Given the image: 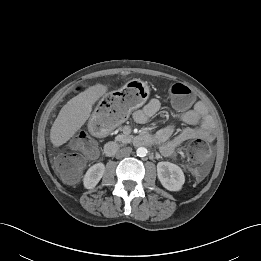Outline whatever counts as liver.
I'll use <instances>...</instances> for the list:
<instances>
[{
	"label": "liver",
	"instance_id": "1",
	"mask_svg": "<svg viewBox=\"0 0 261 261\" xmlns=\"http://www.w3.org/2000/svg\"><path fill=\"white\" fill-rule=\"evenodd\" d=\"M107 90L102 84L90 86L62 107L50 130V140L55 147L74 136L89 118L92 106Z\"/></svg>",
	"mask_w": 261,
	"mask_h": 261
}]
</instances>
